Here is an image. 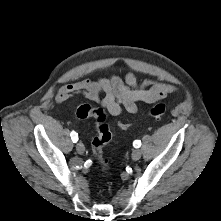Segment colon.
<instances>
[{
	"mask_svg": "<svg viewBox=\"0 0 221 221\" xmlns=\"http://www.w3.org/2000/svg\"><path fill=\"white\" fill-rule=\"evenodd\" d=\"M167 112V106L164 103H158L152 106L147 115L152 118H161ZM76 116L79 119L91 118L95 125V137L92 140V154L94 159L102 165V167L107 170L108 163L103 157V148L112 139V133L110 127L107 123V116L102 108H95L89 104L80 105L76 110ZM119 128L128 129L130 124L127 122H119Z\"/></svg>",
	"mask_w": 221,
	"mask_h": 221,
	"instance_id": "1",
	"label": "colon"
}]
</instances>
